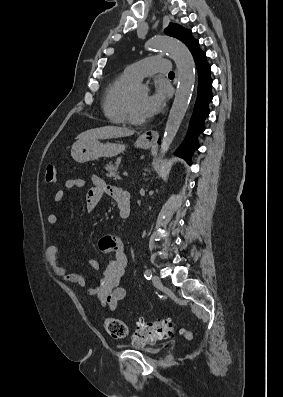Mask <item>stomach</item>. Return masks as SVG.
Here are the masks:
<instances>
[{
	"label": "stomach",
	"mask_w": 283,
	"mask_h": 397,
	"mask_svg": "<svg viewBox=\"0 0 283 397\" xmlns=\"http://www.w3.org/2000/svg\"><path fill=\"white\" fill-rule=\"evenodd\" d=\"M152 145L151 142L140 136L135 142V146L147 149ZM125 150V145L117 143H100L97 139L87 141H77L71 149L72 158L78 163L94 161L101 157H114Z\"/></svg>",
	"instance_id": "0dacf381"
}]
</instances>
